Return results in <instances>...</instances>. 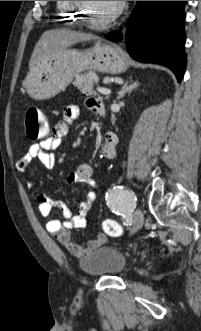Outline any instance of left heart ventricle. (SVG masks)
Returning <instances> with one entry per match:
<instances>
[{
	"instance_id": "obj_1",
	"label": "left heart ventricle",
	"mask_w": 201,
	"mask_h": 331,
	"mask_svg": "<svg viewBox=\"0 0 201 331\" xmlns=\"http://www.w3.org/2000/svg\"><path fill=\"white\" fill-rule=\"evenodd\" d=\"M86 18L91 22L103 21L118 7L119 1H86Z\"/></svg>"
}]
</instances>
